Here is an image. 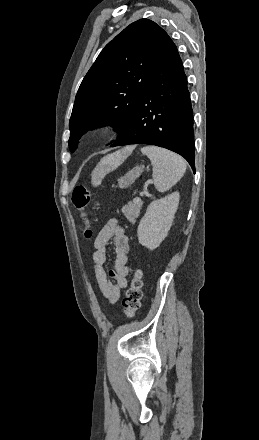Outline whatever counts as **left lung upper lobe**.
Segmentation results:
<instances>
[{"label":"left lung upper lobe","instance_id":"obj_1","mask_svg":"<svg viewBox=\"0 0 259 440\" xmlns=\"http://www.w3.org/2000/svg\"><path fill=\"white\" fill-rule=\"evenodd\" d=\"M167 33L140 19L101 51L76 94L69 121V148L88 130L111 125L119 136L127 126L157 65Z\"/></svg>","mask_w":259,"mask_h":440}]
</instances>
